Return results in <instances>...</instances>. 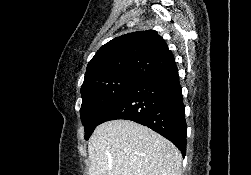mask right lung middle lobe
I'll return each instance as SVG.
<instances>
[{"mask_svg": "<svg viewBox=\"0 0 251 175\" xmlns=\"http://www.w3.org/2000/svg\"><path fill=\"white\" fill-rule=\"evenodd\" d=\"M139 80L141 79L123 75L81 87L80 116L85 127L86 140L99 125L100 117L104 112Z\"/></svg>", "mask_w": 251, "mask_h": 175, "instance_id": "1", "label": "right lung middle lobe"}]
</instances>
